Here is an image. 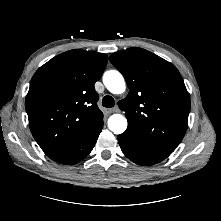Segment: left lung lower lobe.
<instances>
[{"label":"left lung lower lobe","mask_w":221,"mask_h":221,"mask_svg":"<svg viewBox=\"0 0 221 221\" xmlns=\"http://www.w3.org/2000/svg\"><path fill=\"white\" fill-rule=\"evenodd\" d=\"M117 140L124 155L139 165H152L166 159L171 153L159 150L144 143L129 128L117 136Z\"/></svg>","instance_id":"obj_1"}]
</instances>
